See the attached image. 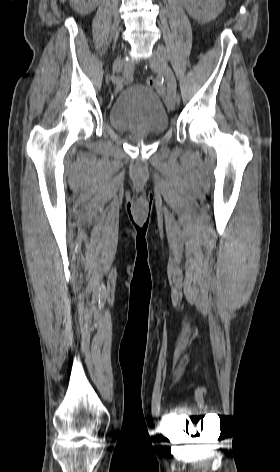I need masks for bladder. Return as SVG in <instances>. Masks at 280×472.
I'll use <instances>...</instances> for the list:
<instances>
[{"label":"bladder","mask_w":280,"mask_h":472,"mask_svg":"<svg viewBox=\"0 0 280 472\" xmlns=\"http://www.w3.org/2000/svg\"><path fill=\"white\" fill-rule=\"evenodd\" d=\"M113 128L122 132L162 134L169 116L159 95L151 88L134 84L123 89L108 111Z\"/></svg>","instance_id":"bladder-1"}]
</instances>
